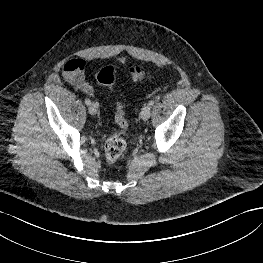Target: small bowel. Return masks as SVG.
I'll return each mask as SVG.
<instances>
[{
	"label": "small bowel",
	"instance_id": "obj_1",
	"mask_svg": "<svg viewBox=\"0 0 263 263\" xmlns=\"http://www.w3.org/2000/svg\"><path fill=\"white\" fill-rule=\"evenodd\" d=\"M64 79L77 90H80L86 95H92L93 87L86 81L85 78V62L80 58L68 60L62 69Z\"/></svg>",
	"mask_w": 263,
	"mask_h": 263
}]
</instances>
